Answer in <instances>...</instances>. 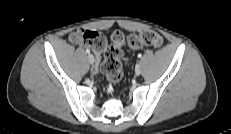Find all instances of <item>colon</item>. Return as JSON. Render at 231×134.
I'll return each mask as SVG.
<instances>
[{
	"label": "colon",
	"instance_id": "colon-1",
	"mask_svg": "<svg viewBox=\"0 0 231 134\" xmlns=\"http://www.w3.org/2000/svg\"><path fill=\"white\" fill-rule=\"evenodd\" d=\"M76 39L91 48L97 55L103 53L104 60L101 64V71L112 83H118L122 78V47L125 44L132 49H139L144 46L157 48L163 43L162 37L155 31H143L127 38L117 31L112 35V43L109 46L104 36L96 31L77 30Z\"/></svg>",
	"mask_w": 231,
	"mask_h": 134
}]
</instances>
